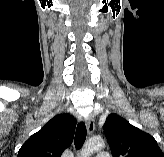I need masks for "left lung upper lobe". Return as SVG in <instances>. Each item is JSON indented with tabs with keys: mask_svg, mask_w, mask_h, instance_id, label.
<instances>
[{
	"mask_svg": "<svg viewBox=\"0 0 164 157\" xmlns=\"http://www.w3.org/2000/svg\"><path fill=\"white\" fill-rule=\"evenodd\" d=\"M105 136L113 157H164L156 140L116 114L106 118Z\"/></svg>",
	"mask_w": 164,
	"mask_h": 157,
	"instance_id": "obj_1",
	"label": "left lung upper lobe"
}]
</instances>
